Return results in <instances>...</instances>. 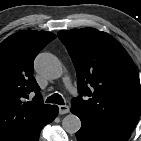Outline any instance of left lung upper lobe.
Wrapping results in <instances>:
<instances>
[{
    "instance_id": "obj_1",
    "label": "left lung upper lobe",
    "mask_w": 141,
    "mask_h": 141,
    "mask_svg": "<svg viewBox=\"0 0 141 141\" xmlns=\"http://www.w3.org/2000/svg\"><path fill=\"white\" fill-rule=\"evenodd\" d=\"M58 37L77 73L80 96L72 99L71 106L106 127L131 133L141 114V86L123 46L90 27L60 31Z\"/></svg>"
}]
</instances>
